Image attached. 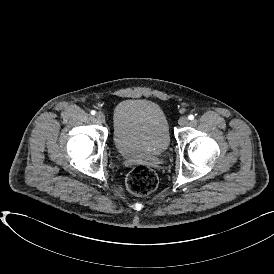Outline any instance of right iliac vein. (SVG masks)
Listing matches in <instances>:
<instances>
[{
    "label": "right iliac vein",
    "instance_id": "obj_1",
    "mask_svg": "<svg viewBox=\"0 0 274 274\" xmlns=\"http://www.w3.org/2000/svg\"><path fill=\"white\" fill-rule=\"evenodd\" d=\"M96 119L98 122L103 123L105 122V115L102 112H98L96 114Z\"/></svg>",
    "mask_w": 274,
    "mask_h": 274
}]
</instances>
